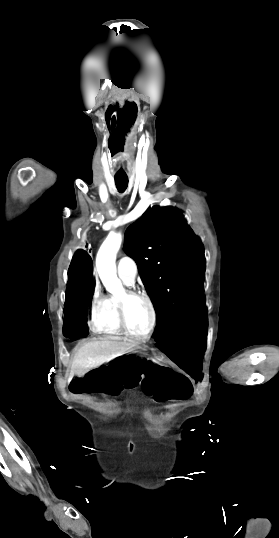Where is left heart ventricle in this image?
<instances>
[{
    "mask_svg": "<svg viewBox=\"0 0 279 538\" xmlns=\"http://www.w3.org/2000/svg\"><path fill=\"white\" fill-rule=\"evenodd\" d=\"M96 219L101 220V215H97ZM126 319L127 324L132 332L136 334L145 333L148 330L151 322V312L147 303L142 299L131 300L126 308Z\"/></svg>",
    "mask_w": 279,
    "mask_h": 538,
    "instance_id": "left-heart-ventricle-1",
    "label": "left heart ventricle"
}]
</instances>
